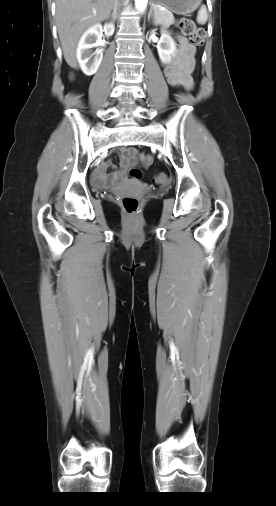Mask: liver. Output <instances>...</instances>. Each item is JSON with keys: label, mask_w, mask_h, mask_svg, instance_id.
Instances as JSON below:
<instances>
[{"label": "liver", "mask_w": 276, "mask_h": 506, "mask_svg": "<svg viewBox=\"0 0 276 506\" xmlns=\"http://www.w3.org/2000/svg\"><path fill=\"white\" fill-rule=\"evenodd\" d=\"M116 0H56V25L67 64L78 68L76 47L81 34L106 20Z\"/></svg>", "instance_id": "liver-1"}]
</instances>
